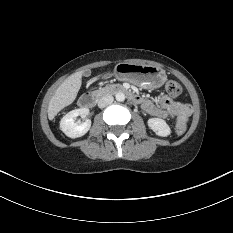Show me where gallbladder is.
Wrapping results in <instances>:
<instances>
[{
    "label": "gallbladder",
    "instance_id": "gallbladder-1",
    "mask_svg": "<svg viewBox=\"0 0 233 233\" xmlns=\"http://www.w3.org/2000/svg\"><path fill=\"white\" fill-rule=\"evenodd\" d=\"M83 75H84L85 77H88V76L91 75V71H90L89 69H87V70H85V71L83 72Z\"/></svg>",
    "mask_w": 233,
    "mask_h": 233
}]
</instances>
